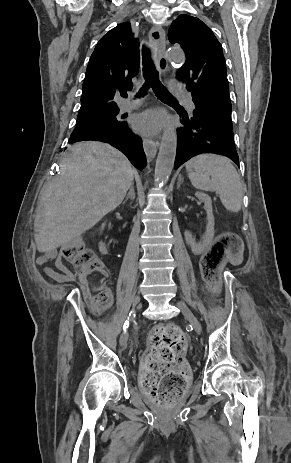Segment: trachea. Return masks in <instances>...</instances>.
Here are the masks:
<instances>
[{
	"label": "trachea",
	"mask_w": 291,
	"mask_h": 463,
	"mask_svg": "<svg viewBox=\"0 0 291 463\" xmlns=\"http://www.w3.org/2000/svg\"><path fill=\"white\" fill-rule=\"evenodd\" d=\"M143 76L145 78L144 85L140 88L137 96H143L147 90L152 87L155 95L160 100L177 101L173 98L167 90L163 87L159 81V73L156 70L153 60L151 58V52L147 47L143 49ZM122 95L126 97V92Z\"/></svg>",
	"instance_id": "trachea-1"
}]
</instances>
